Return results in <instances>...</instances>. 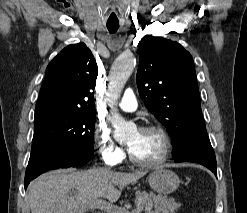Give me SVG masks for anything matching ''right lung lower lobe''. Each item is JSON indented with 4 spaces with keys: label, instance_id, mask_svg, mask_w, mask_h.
I'll return each mask as SVG.
<instances>
[{
    "label": "right lung lower lobe",
    "instance_id": "98d812e1",
    "mask_svg": "<svg viewBox=\"0 0 247 213\" xmlns=\"http://www.w3.org/2000/svg\"><path fill=\"white\" fill-rule=\"evenodd\" d=\"M93 152H80L77 154H69L64 150L56 147L43 155L29 160V164L25 174V189L31 180L41 173L50 169L68 168L74 166H82L88 162Z\"/></svg>",
    "mask_w": 247,
    "mask_h": 213
}]
</instances>
